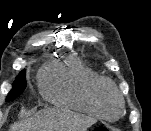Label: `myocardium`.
Wrapping results in <instances>:
<instances>
[{
	"instance_id": "1",
	"label": "myocardium",
	"mask_w": 151,
	"mask_h": 131,
	"mask_svg": "<svg viewBox=\"0 0 151 131\" xmlns=\"http://www.w3.org/2000/svg\"><path fill=\"white\" fill-rule=\"evenodd\" d=\"M113 96L118 102V111L115 115H110L105 107V101L107 97ZM95 104L101 115L105 118H113L118 117L124 107H125V100L122 93L117 89V87L108 79L103 80L96 91L95 94Z\"/></svg>"
}]
</instances>
